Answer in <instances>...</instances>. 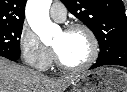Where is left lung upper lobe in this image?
Returning <instances> with one entry per match:
<instances>
[{
	"label": "left lung upper lobe",
	"instance_id": "5c2ea615",
	"mask_svg": "<svg viewBox=\"0 0 127 92\" xmlns=\"http://www.w3.org/2000/svg\"><path fill=\"white\" fill-rule=\"evenodd\" d=\"M96 36L100 53L127 44V17L121 0H61Z\"/></svg>",
	"mask_w": 127,
	"mask_h": 92
}]
</instances>
